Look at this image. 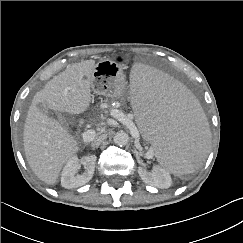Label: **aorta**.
Listing matches in <instances>:
<instances>
[{
    "mask_svg": "<svg viewBox=\"0 0 243 243\" xmlns=\"http://www.w3.org/2000/svg\"><path fill=\"white\" fill-rule=\"evenodd\" d=\"M113 141L118 146H125L129 141V136L126 132L119 131L114 135Z\"/></svg>",
    "mask_w": 243,
    "mask_h": 243,
    "instance_id": "762f6f07",
    "label": "aorta"
}]
</instances>
